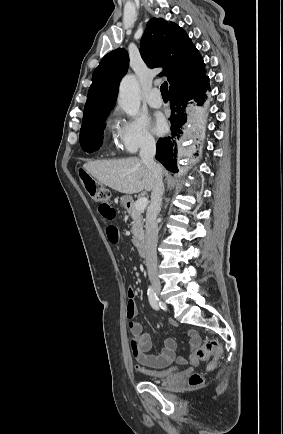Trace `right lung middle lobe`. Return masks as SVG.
Instances as JSON below:
<instances>
[{"instance_id": "dd1d6c3e", "label": "right lung middle lobe", "mask_w": 283, "mask_h": 434, "mask_svg": "<svg viewBox=\"0 0 283 434\" xmlns=\"http://www.w3.org/2000/svg\"><path fill=\"white\" fill-rule=\"evenodd\" d=\"M106 118L107 116L95 123L81 127L79 140L84 151L92 153L99 149L103 140L102 134Z\"/></svg>"}]
</instances>
